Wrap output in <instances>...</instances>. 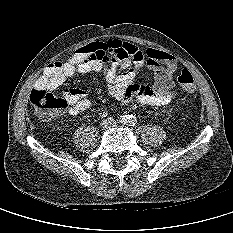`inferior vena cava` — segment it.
Returning <instances> with one entry per match:
<instances>
[{
  "instance_id": "obj_1",
  "label": "inferior vena cava",
  "mask_w": 233,
  "mask_h": 233,
  "mask_svg": "<svg viewBox=\"0 0 233 233\" xmlns=\"http://www.w3.org/2000/svg\"><path fill=\"white\" fill-rule=\"evenodd\" d=\"M113 122H114V120H113L112 118H107V119H104V120L102 121V125H103L105 128H109Z\"/></svg>"
}]
</instances>
